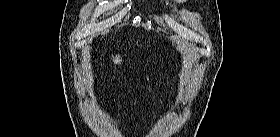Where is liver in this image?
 <instances>
[{
    "instance_id": "liver-1",
    "label": "liver",
    "mask_w": 280,
    "mask_h": 137,
    "mask_svg": "<svg viewBox=\"0 0 280 137\" xmlns=\"http://www.w3.org/2000/svg\"><path fill=\"white\" fill-rule=\"evenodd\" d=\"M113 62L115 64H121L122 60H121L120 56L117 55L115 58L113 57Z\"/></svg>"
}]
</instances>
